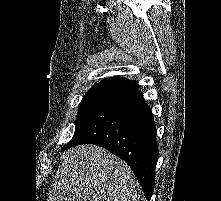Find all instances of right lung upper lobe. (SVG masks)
Here are the masks:
<instances>
[{
    "instance_id": "right-lung-upper-lobe-1",
    "label": "right lung upper lobe",
    "mask_w": 221,
    "mask_h": 201,
    "mask_svg": "<svg viewBox=\"0 0 221 201\" xmlns=\"http://www.w3.org/2000/svg\"><path fill=\"white\" fill-rule=\"evenodd\" d=\"M133 81L128 79H123L120 77H113V78H106L102 82L95 84L92 88H114V89H121L122 87L126 86L127 84Z\"/></svg>"
}]
</instances>
